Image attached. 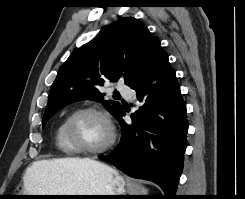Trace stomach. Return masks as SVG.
<instances>
[{
    "label": "stomach",
    "mask_w": 245,
    "mask_h": 199,
    "mask_svg": "<svg viewBox=\"0 0 245 199\" xmlns=\"http://www.w3.org/2000/svg\"><path fill=\"white\" fill-rule=\"evenodd\" d=\"M53 183L60 189L57 193L42 195H124L126 180L119 172L105 164L78 169L71 174L54 177ZM25 187V186H24ZM24 194L29 191L25 188ZM37 199H82L101 198L97 196L78 197H36Z\"/></svg>",
    "instance_id": "obj_1"
}]
</instances>
